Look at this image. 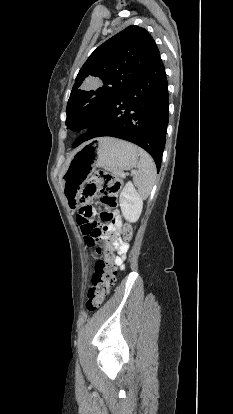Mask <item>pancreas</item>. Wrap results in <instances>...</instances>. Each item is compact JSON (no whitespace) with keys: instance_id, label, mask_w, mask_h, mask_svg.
Here are the masks:
<instances>
[{"instance_id":"obj_1","label":"pancreas","mask_w":233,"mask_h":414,"mask_svg":"<svg viewBox=\"0 0 233 414\" xmlns=\"http://www.w3.org/2000/svg\"><path fill=\"white\" fill-rule=\"evenodd\" d=\"M116 174H117L118 176L122 177L123 172H122V171H118V172H116Z\"/></svg>"}]
</instances>
